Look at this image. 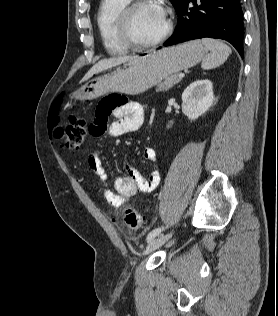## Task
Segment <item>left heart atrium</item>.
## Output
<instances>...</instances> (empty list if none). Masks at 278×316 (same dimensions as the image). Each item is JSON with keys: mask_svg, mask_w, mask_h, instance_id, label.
<instances>
[{"mask_svg": "<svg viewBox=\"0 0 278 316\" xmlns=\"http://www.w3.org/2000/svg\"><path fill=\"white\" fill-rule=\"evenodd\" d=\"M155 8L158 10V12L162 15L165 16L164 9L161 7L159 4H154Z\"/></svg>", "mask_w": 278, "mask_h": 316, "instance_id": "39dd6f15", "label": "left heart atrium"}]
</instances>
